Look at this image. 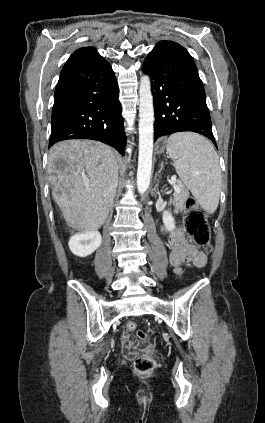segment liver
I'll return each instance as SVG.
<instances>
[{
  "mask_svg": "<svg viewBox=\"0 0 265 423\" xmlns=\"http://www.w3.org/2000/svg\"><path fill=\"white\" fill-rule=\"evenodd\" d=\"M47 170L53 199L67 225L81 233L99 229L116 194L114 151L97 141H62L50 148Z\"/></svg>",
  "mask_w": 265,
  "mask_h": 423,
  "instance_id": "6515ba94",
  "label": "liver"
}]
</instances>
